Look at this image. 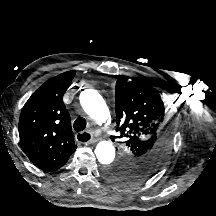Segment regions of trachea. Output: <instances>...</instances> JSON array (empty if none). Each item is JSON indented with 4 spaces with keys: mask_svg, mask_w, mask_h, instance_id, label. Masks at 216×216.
Wrapping results in <instances>:
<instances>
[{
    "mask_svg": "<svg viewBox=\"0 0 216 216\" xmlns=\"http://www.w3.org/2000/svg\"><path fill=\"white\" fill-rule=\"evenodd\" d=\"M87 122L83 117H79L74 121L73 128L75 131H83L86 128ZM87 134H82L78 139L82 142H86L90 139Z\"/></svg>",
    "mask_w": 216,
    "mask_h": 216,
    "instance_id": "3493384b",
    "label": "trachea"
}]
</instances>
